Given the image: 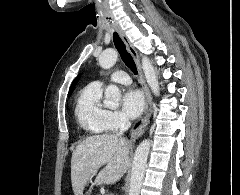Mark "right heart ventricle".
<instances>
[{
	"mask_svg": "<svg viewBox=\"0 0 240 195\" xmlns=\"http://www.w3.org/2000/svg\"><path fill=\"white\" fill-rule=\"evenodd\" d=\"M108 113L102 101V86L98 82L89 84L80 94L75 108L79 126L91 136H106L110 131Z\"/></svg>",
	"mask_w": 240,
	"mask_h": 195,
	"instance_id": "1",
	"label": "right heart ventricle"
}]
</instances>
